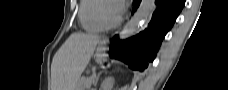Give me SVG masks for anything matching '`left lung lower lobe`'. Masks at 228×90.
Returning a JSON list of instances; mask_svg holds the SVG:
<instances>
[{"label":"left lung lower lobe","mask_w":228,"mask_h":90,"mask_svg":"<svg viewBox=\"0 0 228 90\" xmlns=\"http://www.w3.org/2000/svg\"><path fill=\"white\" fill-rule=\"evenodd\" d=\"M141 0H133V13ZM185 0H156L157 10L153 13L148 27L138 35L118 41V36L110 44L112 58L128 64L133 70H144L153 61L166 33L170 30L184 6Z\"/></svg>","instance_id":"1"}]
</instances>
